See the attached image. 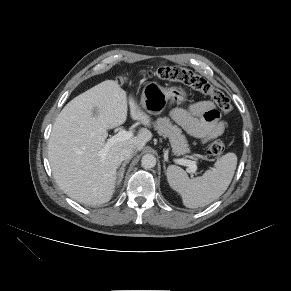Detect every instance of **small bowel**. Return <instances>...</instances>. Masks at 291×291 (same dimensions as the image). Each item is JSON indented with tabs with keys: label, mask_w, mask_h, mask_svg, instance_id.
I'll return each mask as SVG.
<instances>
[{
	"label": "small bowel",
	"mask_w": 291,
	"mask_h": 291,
	"mask_svg": "<svg viewBox=\"0 0 291 291\" xmlns=\"http://www.w3.org/2000/svg\"><path fill=\"white\" fill-rule=\"evenodd\" d=\"M172 116L193 136L204 142L220 136L226 128L225 122L220 119L218 111L209 101L196 102L188 111L175 109Z\"/></svg>",
	"instance_id": "obj_1"
}]
</instances>
